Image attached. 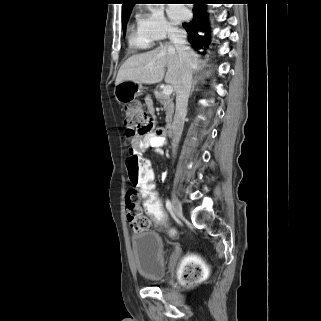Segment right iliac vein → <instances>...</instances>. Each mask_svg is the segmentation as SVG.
<instances>
[{
  "instance_id": "right-iliac-vein-1",
  "label": "right iliac vein",
  "mask_w": 321,
  "mask_h": 321,
  "mask_svg": "<svg viewBox=\"0 0 321 321\" xmlns=\"http://www.w3.org/2000/svg\"><path fill=\"white\" fill-rule=\"evenodd\" d=\"M172 206H173V210L175 212V214L178 217L182 216V206H181V202L178 199V197L176 196L175 193H172Z\"/></svg>"
}]
</instances>
